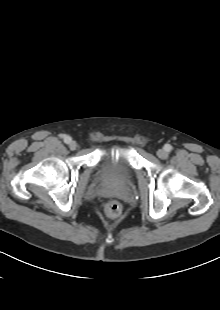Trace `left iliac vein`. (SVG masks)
Instances as JSON below:
<instances>
[{
    "label": "left iliac vein",
    "instance_id": "1",
    "mask_svg": "<svg viewBox=\"0 0 220 310\" xmlns=\"http://www.w3.org/2000/svg\"><path fill=\"white\" fill-rule=\"evenodd\" d=\"M157 156L160 158V159H166L168 157V153L164 150V149H159L157 151Z\"/></svg>",
    "mask_w": 220,
    "mask_h": 310
}]
</instances>
